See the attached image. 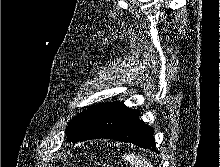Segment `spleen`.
I'll use <instances>...</instances> for the list:
<instances>
[{"instance_id":"3e777b00","label":"spleen","mask_w":220,"mask_h":167,"mask_svg":"<svg viewBox=\"0 0 220 167\" xmlns=\"http://www.w3.org/2000/svg\"><path fill=\"white\" fill-rule=\"evenodd\" d=\"M124 160L135 167H153L148 160L140 155H135L134 153L125 154Z\"/></svg>"}]
</instances>
